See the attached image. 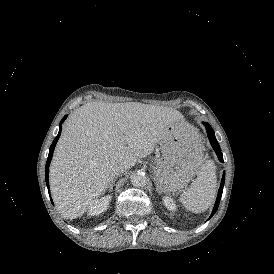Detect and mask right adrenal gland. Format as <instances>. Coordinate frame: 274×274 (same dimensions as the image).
Returning a JSON list of instances; mask_svg holds the SVG:
<instances>
[{
  "label": "right adrenal gland",
  "instance_id": "1",
  "mask_svg": "<svg viewBox=\"0 0 274 274\" xmlns=\"http://www.w3.org/2000/svg\"><path fill=\"white\" fill-rule=\"evenodd\" d=\"M115 179H116V178H113L111 185L108 187V192H109V194H111V192H112V188H113V186H114V181H115Z\"/></svg>",
  "mask_w": 274,
  "mask_h": 274
}]
</instances>
